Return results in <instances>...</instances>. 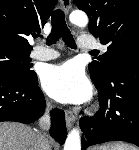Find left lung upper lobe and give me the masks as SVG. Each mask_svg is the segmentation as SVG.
Segmentation results:
<instances>
[{"mask_svg": "<svg viewBox=\"0 0 139 150\" xmlns=\"http://www.w3.org/2000/svg\"><path fill=\"white\" fill-rule=\"evenodd\" d=\"M89 17V31L107 45V52L89 63L91 75L109 80L117 63L139 51V0H75Z\"/></svg>", "mask_w": 139, "mask_h": 150, "instance_id": "1", "label": "left lung upper lobe"}]
</instances>
